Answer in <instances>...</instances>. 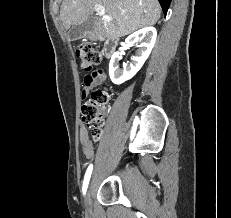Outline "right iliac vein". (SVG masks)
<instances>
[{"label":"right iliac vein","instance_id":"1","mask_svg":"<svg viewBox=\"0 0 231 218\" xmlns=\"http://www.w3.org/2000/svg\"><path fill=\"white\" fill-rule=\"evenodd\" d=\"M85 205H86L87 210L89 211L90 206H91V186L89 187L87 194H86Z\"/></svg>","mask_w":231,"mask_h":218}]
</instances>
